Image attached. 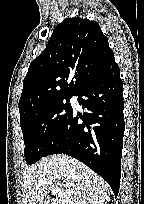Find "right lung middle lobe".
<instances>
[{
	"label": "right lung middle lobe",
	"mask_w": 144,
	"mask_h": 204,
	"mask_svg": "<svg viewBox=\"0 0 144 204\" xmlns=\"http://www.w3.org/2000/svg\"><path fill=\"white\" fill-rule=\"evenodd\" d=\"M70 98L71 95L55 97L20 116L24 156L28 164L45 156L53 139L67 122L73 111Z\"/></svg>",
	"instance_id": "1"
}]
</instances>
